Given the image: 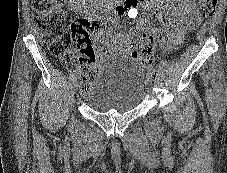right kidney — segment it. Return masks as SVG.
Segmentation results:
<instances>
[{"label":"right kidney","mask_w":227,"mask_h":173,"mask_svg":"<svg viewBox=\"0 0 227 173\" xmlns=\"http://www.w3.org/2000/svg\"><path fill=\"white\" fill-rule=\"evenodd\" d=\"M86 0H69L70 10L79 11L84 6Z\"/></svg>","instance_id":"obj_1"}]
</instances>
